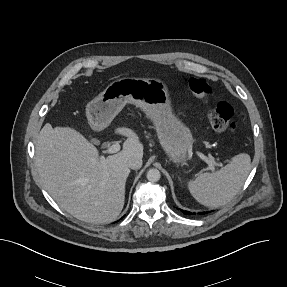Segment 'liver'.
Wrapping results in <instances>:
<instances>
[{"mask_svg": "<svg viewBox=\"0 0 287 287\" xmlns=\"http://www.w3.org/2000/svg\"><path fill=\"white\" fill-rule=\"evenodd\" d=\"M126 136L123 149L108 157L81 134L47 123L36 142V166L51 197L75 218L93 224L114 221L125 202V186L132 157H143V145L130 128L119 127Z\"/></svg>", "mask_w": 287, "mask_h": 287, "instance_id": "obj_1", "label": "liver"}]
</instances>
